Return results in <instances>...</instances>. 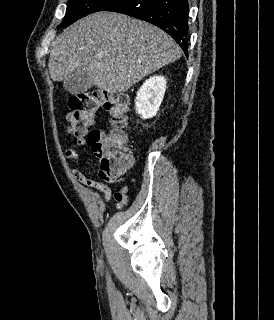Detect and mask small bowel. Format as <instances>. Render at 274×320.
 Instances as JSON below:
<instances>
[{
  "label": "small bowel",
  "instance_id": "c3829d8e",
  "mask_svg": "<svg viewBox=\"0 0 274 320\" xmlns=\"http://www.w3.org/2000/svg\"><path fill=\"white\" fill-rule=\"evenodd\" d=\"M90 124H93V121H90ZM86 145H89L86 138L78 139L73 147H71L65 151V157L70 161L78 162L79 161V148L84 147ZM95 153L99 157H102L101 152L95 151ZM129 161H133L131 156H129ZM127 169H129V168H124L122 170V173ZM71 174L74 177V179L77 182H79L80 184H82L83 186H85L89 189H92L94 191H98V192L102 193L103 194L102 201L104 203L108 202L111 199L112 191L107 184L90 179V178H87L79 169L74 168V167L71 168ZM99 177L103 180L105 179V175L102 171L99 172ZM115 199L117 201V208L118 209L124 207L127 203V197H123V198H116L115 197Z\"/></svg>",
  "mask_w": 274,
  "mask_h": 320
}]
</instances>
